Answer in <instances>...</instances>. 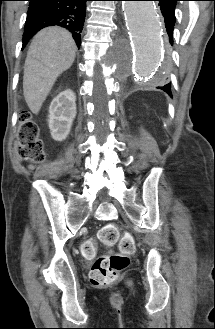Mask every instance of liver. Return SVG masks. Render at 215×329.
<instances>
[{
    "mask_svg": "<svg viewBox=\"0 0 215 329\" xmlns=\"http://www.w3.org/2000/svg\"><path fill=\"white\" fill-rule=\"evenodd\" d=\"M76 50L71 34L64 28L47 27L35 35L23 76V93L32 113H39L58 76L72 66Z\"/></svg>",
    "mask_w": 215,
    "mask_h": 329,
    "instance_id": "obj_1",
    "label": "liver"
}]
</instances>
